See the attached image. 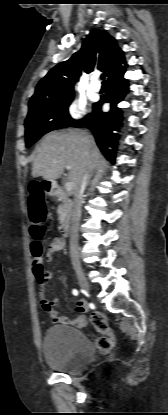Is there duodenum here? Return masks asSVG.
<instances>
[{
  "label": "duodenum",
  "instance_id": "410a0bca",
  "mask_svg": "<svg viewBox=\"0 0 168 415\" xmlns=\"http://www.w3.org/2000/svg\"><path fill=\"white\" fill-rule=\"evenodd\" d=\"M42 188L53 197L61 198L63 197V191L61 188L53 181L43 180L41 182ZM70 222L67 218H63L58 224V231L61 236L67 237L69 235Z\"/></svg>",
  "mask_w": 168,
  "mask_h": 415
}]
</instances>
